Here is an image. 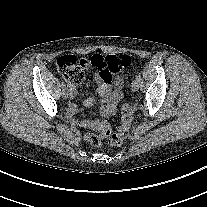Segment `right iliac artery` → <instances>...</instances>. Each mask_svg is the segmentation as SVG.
<instances>
[{
    "label": "right iliac artery",
    "instance_id": "1",
    "mask_svg": "<svg viewBox=\"0 0 207 207\" xmlns=\"http://www.w3.org/2000/svg\"><path fill=\"white\" fill-rule=\"evenodd\" d=\"M62 88H63V89L66 88V85H65L64 83H62Z\"/></svg>",
    "mask_w": 207,
    "mask_h": 207
}]
</instances>
